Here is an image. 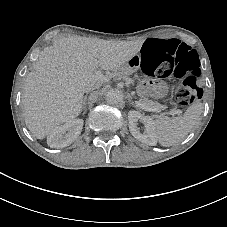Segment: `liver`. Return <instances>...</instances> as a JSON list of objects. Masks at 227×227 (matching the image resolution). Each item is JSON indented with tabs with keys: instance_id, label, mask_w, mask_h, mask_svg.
I'll return each mask as SVG.
<instances>
[{
	"instance_id": "1",
	"label": "liver",
	"mask_w": 227,
	"mask_h": 227,
	"mask_svg": "<svg viewBox=\"0 0 227 227\" xmlns=\"http://www.w3.org/2000/svg\"><path fill=\"white\" fill-rule=\"evenodd\" d=\"M143 42L76 35L57 38L45 47L23 85L22 105L30 132L43 140L54 128L78 117L86 87L109 82L110 73H125L124 66Z\"/></svg>"
}]
</instances>
